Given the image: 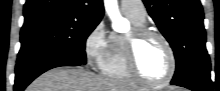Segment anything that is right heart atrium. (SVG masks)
I'll use <instances>...</instances> for the list:
<instances>
[{
  "label": "right heart atrium",
  "mask_w": 220,
  "mask_h": 91,
  "mask_svg": "<svg viewBox=\"0 0 220 91\" xmlns=\"http://www.w3.org/2000/svg\"><path fill=\"white\" fill-rule=\"evenodd\" d=\"M110 45L111 36L105 23L100 21L84 40V54L88 65L94 69H102L110 52Z\"/></svg>",
  "instance_id": "1"
}]
</instances>
